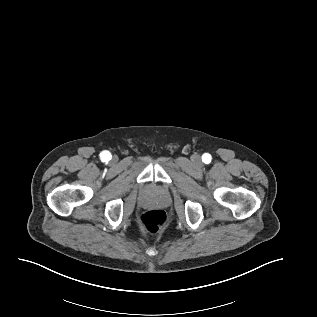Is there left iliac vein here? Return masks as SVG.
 <instances>
[{
	"instance_id": "obj_1",
	"label": "left iliac vein",
	"mask_w": 317,
	"mask_h": 317,
	"mask_svg": "<svg viewBox=\"0 0 317 317\" xmlns=\"http://www.w3.org/2000/svg\"><path fill=\"white\" fill-rule=\"evenodd\" d=\"M194 160H195L196 162H199V160H200L199 156H198V155H195V156H194Z\"/></svg>"
}]
</instances>
